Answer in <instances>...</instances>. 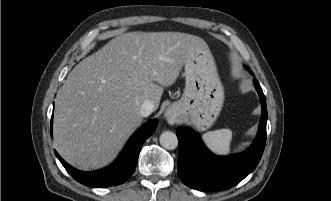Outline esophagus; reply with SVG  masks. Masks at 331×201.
Here are the masks:
<instances>
[{"instance_id": "34e87169", "label": "esophagus", "mask_w": 331, "mask_h": 201, "mask_svg": "<svg viewBox=\"0 0 331 201\" xmlns=\"http://www.w3.org/2000/svg\"><path fill=\"white\" fill-rule=\"evenodd\" d=\"M164 117L171 125L175 124L178 121V114L174 107L167 109L164 113Z\"/></svg>"}]
</instances>
